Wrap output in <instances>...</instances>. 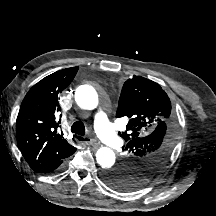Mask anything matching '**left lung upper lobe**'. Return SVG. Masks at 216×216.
Here are the masks:
<instances>
[{
    "mask_svg": "<svg viewBox=\"0 0 216 216\" xmlns=\"http://www.w3.org/2000/svg\"><path fill=\"white\" fill-rule=\"evenodd\" d=\"M116 117L128 120L119 164L106 170L104 181L121 191L139 189L166 164L178 137L177 112L161 86L141 76L122 88Z\"/></svg>",
    "mask_w": 216,
    "mask_h": 216,
    "instance_id": "1",
    "label": "left lung upper lobe"
}]
</instances>
